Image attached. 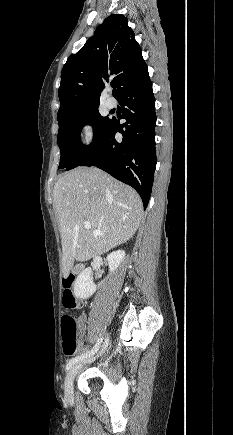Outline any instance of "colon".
Wrapping results in <instances>:
<instances>
[{
	"label": "colon",
	"instance_id": "5ec220e1",
	"mask_svg": "<svg viewBox=\"0 0 233 435\" xmlns=\"http://www.w3.org/2000/svg\"><path fill=\"white\" fill-rule=\"evenodd\" d=\"M74 276L70 275L62 282L63 286V306L67 310H74L80 307V303L76 300L72 293L74 285ZM61 334H62V348L66 355H72L77 351V338H78V323L76 318L70 314L65 313L61 318Z\"/></svg>",
	"mask_w": 233,
	"mask_h": 435
}]
</instances>
